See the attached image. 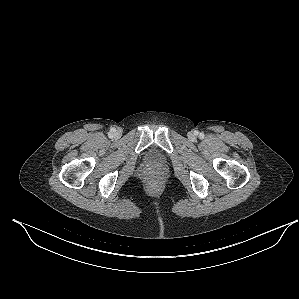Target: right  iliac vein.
<instances>
[{"mask_svg": "<svg viewBox=\"0 0 299 299\" xmlns=\"http://www.w3.org/2000/svg\"><path fill=\"white\" fill-rule=\"evenodd\" d=\"M120 135V132H116L115 136L118 137Z\"/></svg>", "mask_w": 299, "mask_h": 299, "instance_id": "63e3f726", "label": "right iliac vein"}]
</instances>
